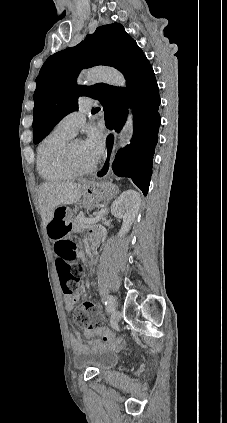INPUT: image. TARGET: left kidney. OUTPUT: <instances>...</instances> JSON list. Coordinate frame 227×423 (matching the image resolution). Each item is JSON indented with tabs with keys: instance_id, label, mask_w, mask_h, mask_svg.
Listing matches in <instances>:
<instances>
[{
	"instance_id": "5707ae66",
	"label": "left kidney",
	"mask_w": 227,
	"mask_h": 423,
	"mask_svg": "<svg viewBox=\"0 0 227 423\" xmlns=\"http://www.w3.org/2000/svg\"><path fill=\"white\" fill-rule=\"evenodd\" d=\"M141 204V196L134 190H126L123 194H120L119 198L113 202L111 206L112 215L116 217H122L123 223L121 229L118 231L119 237H122L124 233L129 231Z\"/></svg>"
}]
</instances>
